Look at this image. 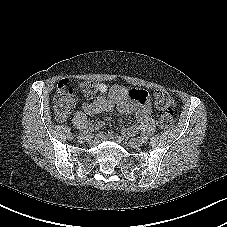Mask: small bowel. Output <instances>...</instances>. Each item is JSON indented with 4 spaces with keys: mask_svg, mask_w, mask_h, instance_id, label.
<instances>
[{
    "mask_svg": "<svg viewBox=\"0 0 227 227\" xmlns=\"http://www.w3.org/2000/svg\"><path fill=\"white\" fill-rule=\"evenodd\" d=\"M98 90L101 94H106V96L100 95L91 102L83 103V110L89 115L111 111L116 108L120 113L134 114L138 120H143L152 112L146 92L139 88H125L120 85L108 87L104 83H99ZM137 130L138 125L135 124L123 129V133L132 135ZM107 137L112 138L113 133L108 132Z\"/></svg>",
    "mask_w": 227,
    "mask_h": 227,
    "instance_id": "small-bowel-1",
    "label": "small bowel"
}]
</instances>
